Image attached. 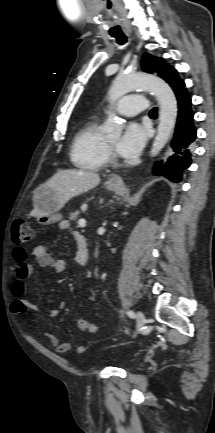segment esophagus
Here are the masks:
<instances>
[{
    "label": "esophagus",
    "mask_w": 215,
    "mask_h": 433,
    "mask_svg": "<svg viewBox=\"0 0 215 433\" xmlns=\"http://www.w3.org/2000/svg\"><path fill=\"white\" fill-rule=\"evenodd\" d=\"M107 183L113 186H119L123 184V180L120 176H112L107 180Z\"/></svg>",
    "instance_id": "obj_1"
}]
</instances>
